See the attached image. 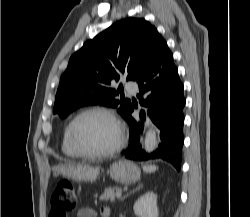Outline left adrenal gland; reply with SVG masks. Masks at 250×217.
<instances>
[{
	"label": "left adrenal gland",
	"mask_w": 250,
	"mask_h": 217,
	"mask_svg": "<svg viewBox=\"0 0 250 217\" xmlns=\"http://www.w3.org/2000/svg\"><path fill=\"white\" fill-rule=\"evenodd\" d=\"M141 188H143V185H142V184L139 185L137 188H135L133 191L129 192L125 197H127V196H129L130 194L136 192L137 190H140ZM125 197H124V198H125Z\"/></svg>",
	"instance_id": "1"
}]
</instances>
